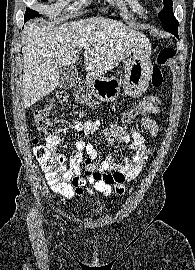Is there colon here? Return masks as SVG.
Returning a JSON list of instances; mask_svg holds the SVG:
<instances>
[{
  "instance_id": "5ec220e1",
  "label": "colon",
  "mask_w": 195,
  "mask_h": 270,
  "mask_svg": "<svg viewBox=\"0 0 195 270\" xmlns=\"http://www.w3.org/2000/svg\"><path fill=\"white\" fill-rule=\"evenodd\" d=\"M175 49L172 47L163 48L157 55L155 65L151 73V84L159 88L163 84L162 68L175 57ZM66 94L61 92L57 94L56 99L59 102L66 101ZM76 99L85 107L90 108L93 105L90 90L84 83H77ZM160 99L157 96H148L138 104L132 106L122 114V122L130 123L137 117L144 115L159 106ZM51 106L47 105L35 111L34 121L39 131L48 138L59 136L66 133L71 124L66 120L50 118ZM36 143V140H34ZM36 158L46 175L50 187L60 194H66L72 187V179L65 166V157L61 154L57 146L36 145L34 148Z\"/></svg>"
}]
</instances>
